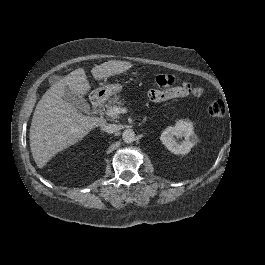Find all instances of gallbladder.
<instances>
[{
    "mask_svg": "<svg viewBox=\"0 0 265 265\" xmlns=\"http://www.w3.org/2000/svg\"><path fill=\"white\" fill-rule=\"evenodd\" d=\"M62 79L61 76L52 75L49 77V83L51 85L57 83ZM63 100L71 105H73L78 110L88 113L90 111V105L89 103L82 97L78 96L77 94H74L69 87L65 88V94L63 96Z\"/></svg>",
    "mask_w": 265,
    "mask_h": 265,
    "instance_id": "obj_1",
    "label": "gallbladder"
}]
</instances>
